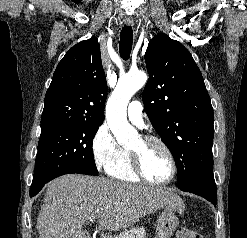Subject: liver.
<instances>
[{
  "label": "liver",
  "instance_id": "6515ba94",
  "mask_svg": "<svg viewBox=\"0 0 247 238\" xmlns=\"http://www.w3.org/2000/svg\"><path fill=\"white\" fill-rule=\"evenodd\" d=\"M183 207L179 196L158 187L120 183L103 177L64 175L47 185L37 219L39 238H89L83 225L99 219V229H126L161 208Z\"/></svg>",
  "mask_w": 247,
  "mask_h": 238
}]
</instances>
